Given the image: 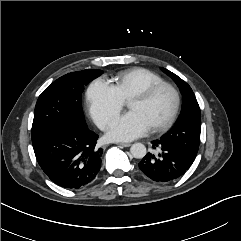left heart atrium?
<instances>
[{
	"label": "left heart atrium",
	"instance_id": "obj_1",
	"mask_svg": "<svg viewBox=\"0 0 241 241\" xmlns=\"http://www.w3.org/2000/svg\"><path fill=\"white\" fill-rule=\"evenodd\" d=\"M150 129V124L140 113L130 111L110 124L107 137L113 141H130L145 135Z\"/></svg>",
	"mask_w": 241,
	"mask_h": 241
}]
</instances>
